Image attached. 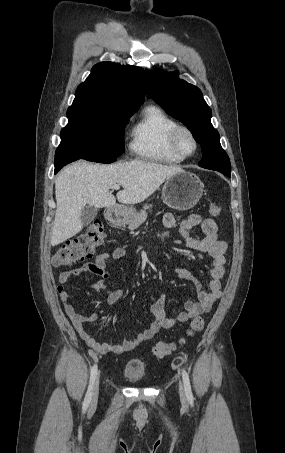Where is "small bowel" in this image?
<instances>
[{
    "label": "small bowel",
    "instance_id": "small-bowel-1",
    "mask_svg": "<svg viewBox=\"0 0 285 453\" xmlns=\"http://www.w3.org/2000/svg\"><path fill=\"white\" fill-rule=\"evenodd\" d=\"M176 223L175 216L172 213H166L163 216V225L166 228H172ZM201 226L204 237L194 238L190 236V230ZM218 227L216 222L210 218H203L199 214H191L185 218L179 225L178 233L186 247L202 252L211 260L209 270L210 280L206 289H202L201 284L191 272L184 268H174V273L180 278L191 282L197 292V301H187L185 310L174 317H167L165 311L166 294L163 293L157 298H153L151 304V313L154 317L152 324L143 332L137 334L132 339H123L117 344H108L100 342L93 337L86 329V323L95 322L98 319L97 313L82 315L77 312L76 308L70 303V293L64 285L69 279L79 276L83 273H91L97 278L91 283V288L96 293L106 292V305L112 306L123 295L122 289L107 290L105 280L109 279V264L121 259L125 255V249L118 247L110 253H100L96 256L94 262L86 263L78 268L68 269L60 273L57 291L63 303L67 316L72 321L76 331L84 342L96 353L100 354H122L132 351L140 343L150 340L158 331L170 329L179 323L188 321L191 318L209 312L213 304L222 294V279L225 274V253L227 243L218 239Z\"/></svg>",
    "mask_w": 285,
    "mask_h": 453
}]
</instances>
